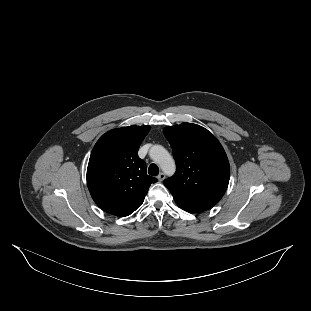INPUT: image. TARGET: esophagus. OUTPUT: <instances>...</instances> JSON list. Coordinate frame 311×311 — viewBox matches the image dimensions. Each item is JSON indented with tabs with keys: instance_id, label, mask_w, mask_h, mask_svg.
<instances>
[{
	"instance_id": "34e87169",
	"label": "esophagus",
	"mask_w": 311,
	"mask_h": 311,
	"mask_svg": "<svg viewBox=\"0 0 311 311\" xmlns=\"http://www.w3.org/2000/svg\"><path fill=\"white\" fill-rule=\"evenodd\" d=\"M157 179L159 180V181H163L164 179H165V174L162 172V173H160L158 176H157Z\"/></svg>"
}]
</instances>
